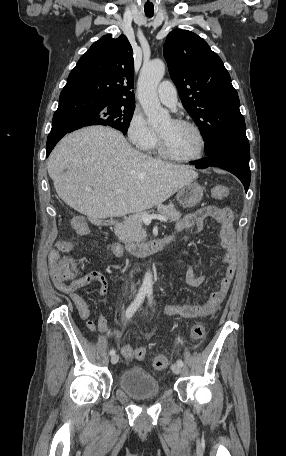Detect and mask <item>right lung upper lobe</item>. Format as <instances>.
<instances>
[{
	"mask_svg": "<svg viewBox=\"0 0 286 456\" xmlns=\"http://www.w3.org/2000/svg\"><path fill=\"white\" fill-rule=\"evenodd\" d=\"M133 50L125 35L96 41L70 72L62 91L73 90L112 102L135 104Z\"/></svg>",
	"mask_w": 286,
	"mask_h": 456,
	"instance_id": "right-lung-upper-lobe-1",
	"label": "right lung upper lobe"
}]
</instances>
